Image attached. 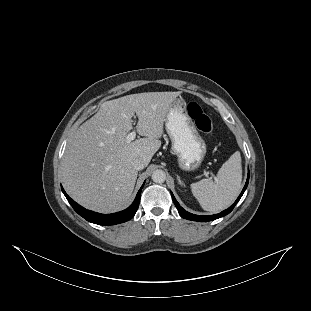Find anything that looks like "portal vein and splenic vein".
Wrapping results in <instances>:
<instances>
[{"mask_svg":"<svg viewBox=\"0 0 311 311\" xmlns=\"http://www.w3.org/2000/svg\"><path fill=\"white\" fill-rule=\"evenodd\" d=\"M132 121H135L136 119L133 118L131 119ZM136 136H137V131L136 129H133L128 135H127V140L128 141H133L136 139Z\"/></svg>","mask_w":311,"mask_h":311,"instance_id":"18ae733b","label":"portal vein and splenic vein"}]
</instances>
